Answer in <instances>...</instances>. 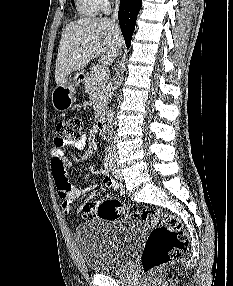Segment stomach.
Instances as JSON below:
<instances>
[{"instance_id":"0dacf381","label":"stomach","mask_w":233,"mask_h":286,"mask_svg":"<svg viewBox=\"0 0 233 286\" xmlns=\"http://www.w3.org/2000/svg\"><path fill=\"white\" fill-rule=\"evenodd\" d=\"M74 85L67 80L58 84L52 91V106L57 112H65L72 104L75 95Z\"/></svg>"}]
</instances>
